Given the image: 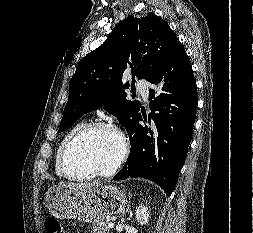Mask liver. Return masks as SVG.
Wrapping results in <instances>:
<instances>
[{
    "label": "liver",
    "instance_id": "liver-1",
    "mask_svg": "<svg viewBox=\"0 0 253 233\" xmlns=\"http://www.w3.org/2000/svg\"><path fill=\"white\" fill-rule=\"evenodd\" d=\"M70 186L74 187H84V186H89V185H100L99 182H92V183H85V184H68Z\"/></svg>",
    "mask_w": 253,
    "mask_h": 233
}]
</instances>
